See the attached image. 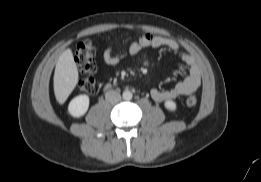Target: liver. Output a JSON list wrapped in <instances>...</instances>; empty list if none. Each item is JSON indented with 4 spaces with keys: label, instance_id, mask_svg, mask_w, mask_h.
I'll use <instances>...</instances> for the list:
<instances>
[{
    "label": "liver",
    "instance_id": "1",
    "mask_svg": "<svg viewBox=\"0 0 261 182\" xmlns=\"http://www.w3.org/2000/svg\"><path fill=\"white\" fill-rule=\"evenodd\" d=\"M78 69L70 48L59 57L54 73V93L59 104H63L78 83Z\"/></svg>",
    "mask_w": 261,
    "mask_h": 182
}]
</instances>
